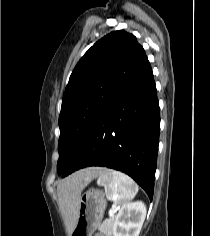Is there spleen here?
Returning <instances> with one entry per match:
<instances>
[{
    "label": "spleen",
    "mask_w": 210,
    "mask_h": 236,
    "mask_svg": "<svg viewBox=\"0 0 210 236\" xmlns=\"http://www.w3.org/2000/svg\"><path fill=\"white\" fill-rule=\"evenodd\" d=\"M97 184L104 186L108 200L120 205L131 201L139 189L128 175L110 169L99 175Z\"/></svg>",
    "instance_id": "1"
}]
</instances>
